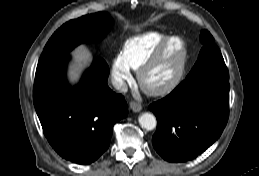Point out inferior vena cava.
Instances as JSON below:
<instances>
[{"label": "inferior vena cava", "instance_id": "602c4592", "mask_svg": "<svg viewBox=\"0 0 259 176\" xmlns=\"http://www.w3.org/2000/svg\"><path fill=\"white\" fill-rule=\"evenodd\" d=\"M112 85L115 89L119 90L121 93H126L128 86L124 80L119 77L112 78Z\"/></svg>", "mask_w": 259, "mask_h": 176}]
</instances>
